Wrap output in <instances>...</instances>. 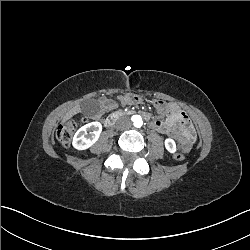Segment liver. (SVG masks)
<instances>
[{"label": "liver", "instance_id": "liver-1", "mask_svg": "<svg viewBox=\"0 0 250 250\" xmlns=\"http://www.w3.org/2000/svg\"><path fill=\"white\" fill-rule=\"evenodd\" d=\"M77 108H79V106H76V107H74L73 109L69 110V111L66 113V115H65V117H64V120H68V119H70L72 116H74L75 114H77V112H78Z\"/></svg>", "mask_w": 250, "mask_h": 250}]
</instances>
